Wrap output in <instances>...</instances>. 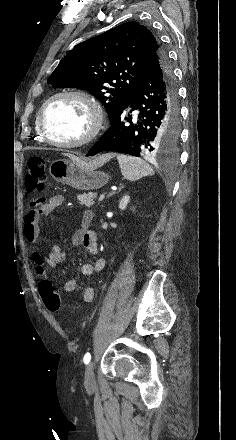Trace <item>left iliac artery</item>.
Returning a JSON list of instances; mask_svg holds the SVG:
<instances>
[{"mask_svg":"<svg viewBox=\"0 0 236 440\" xmlns=\"http://www.w3.org/2000/svg\"><path fill=\"white\" fill-rule=\"evenodd\" d=\"M90 360H91V355H90V353H86L85 356H84V358H83L84 363H85V364H88V363L90 362Z\"/></svg>","mask_w":236,"mask_h":440,"instance_id":"44dca946","label":"left iliac artery"}]
</instances>
